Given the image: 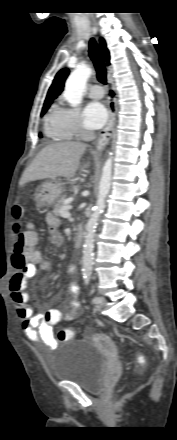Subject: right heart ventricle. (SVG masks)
I'll return each instance as SVG.
<instances>
[{"mask_svg":"<svg viewBox=\"0 0 177 440\" xmlns=\"http://www.w3.org/2000/svg\"><path fill=\"white\" fill-rule=\"evenodd\" d=\"M44 131L48 138L54 141L65 140L68 137L60 128L56 108H53L45 117Z\"/></svg>","mask_w":177,"mask_h":440,"instance_id":"e07e8e85","label":"right heart ventricle"}]
</instances>
